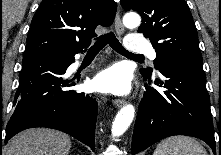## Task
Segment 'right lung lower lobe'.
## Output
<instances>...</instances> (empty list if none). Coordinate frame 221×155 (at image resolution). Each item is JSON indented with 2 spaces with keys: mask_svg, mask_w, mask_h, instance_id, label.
<instances>
[{
  "mask_svg": "<svg viewBox=\"0 0 221 155\" xmlns=\"http://www.w3.org/2000/svg\"><path fill=\"white\" fill-rule=\"evenodd\" d=\"M74 61V55L50 52L23 56L5 143L24 129L44 126L63 131L94 151L97 102L90 95L67 89L75 85L64 78Z\"/></svg>",
  "mask_w": 221,
  "mask_h": 155,
  "instance_id": "right-lung-lower-lobe-1",
  "label": "right lung lower lobe"
}]
</instances>
